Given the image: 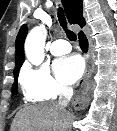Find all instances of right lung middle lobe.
Wrapping results in <instances>:
<instances>
[{"label": "right lung middle lobe", "mask_w": 117, "mask_h": 131, "mask_svg": "<svg viewBox=\"0 0 117 131\" xmlns=\"http://www.w3.org/2000/svg\"><path fill=\"white\" fill-rule=\"evenodd\" d=\"M17 82H18V75L14 76V83L12 85V95L17 94Z\"/></svg>", "instance_id": "1"}]
</instances>
